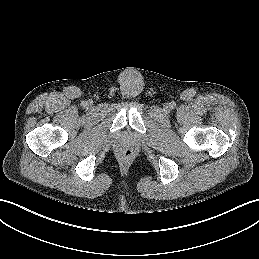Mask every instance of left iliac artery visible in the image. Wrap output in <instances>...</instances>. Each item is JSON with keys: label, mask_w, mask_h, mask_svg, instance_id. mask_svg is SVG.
Instances as JSON below:
<instances>
[{"label": "left iliac artery", "mask_w": 259, "mask_h": 259, "mask_svg": "<svg viewBox=\"0 0 259 259\" xmlns=\"http://www.w3.org/2000/svg\"><path fill=\"white\" fill-rule=\"evenodd\" d=\"M170 106H171V108H175L176 103H175V102H171V103H170Z\"/></svg>", "instance_id": "left-iliac-artery-1"}]
</instances>
